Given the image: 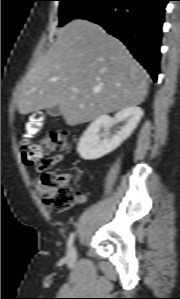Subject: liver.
Listing matches in <instances>:
<instances>
[{
	"instance_id": "obj_1",
	"label": "liver",
	"mask_w": 180,
	"mask_h": 299,
	"mask_svg": "<svg viewBox=\"0 0 180 299\" xmlns=\"http://www.w3.org/2000/svg\"><path fill=\"white\" fill-rule=\"evenodd\" d=\"M147 89L146 71L122 42L97 24L74 20L27 73L17 105L22 115L58 105L75 126L140 105Z\"/></svg>"
}]
</instances>
